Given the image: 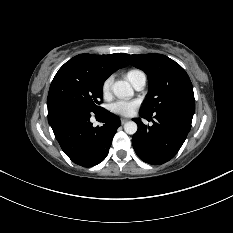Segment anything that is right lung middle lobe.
I'll list each match as a JSON object with an SVG mask.
<instances>
[{"mask_svg": "<svg viewBox=\"0 0 233 233\" xmlns=\"http://www.w3.org/2000/svg\"><path fill=\"white\" fill-rule=\"evenodd\" d=\"M106 79L79 68H60L49 89L47 106H73L100 112L102 85Z\"/></svg>", "mask_w": 233, "mask_h": 233, "instance_id": "right-lung-middle-lobe-1", "label": "right lung middle lobe"}]
</instances>
